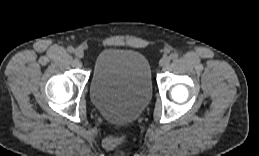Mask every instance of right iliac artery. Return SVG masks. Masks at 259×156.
<instances>
[{
	"mask_svg": "<svg viewBox=\"0 0 259 156\" xmlns=\"http://www.w3.org/2000/svg\"><path fill=\"white\" fill-rule=\"evenodd\" d=\"M67 50H68V52H70V53H73V52H74V48H73L72 46H69V47L67 48Z\"/></svg>",
	"mask_w": 259,
	"mask_h": 156,
	"instance_id": "right-iliac-artery-1",
	"label": "right iliac artery"
}]
</instances>
